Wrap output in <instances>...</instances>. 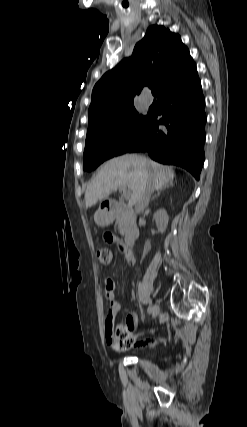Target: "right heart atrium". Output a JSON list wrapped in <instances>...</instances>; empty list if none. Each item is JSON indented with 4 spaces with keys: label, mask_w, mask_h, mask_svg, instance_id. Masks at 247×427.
<instances>
[{
    "label": "right heart atrium",
    "mask_w": 247,
    "mask_h": 427,
    "mask_svg": "<svg viewBox=\"0 0 247 427\" xmlns=\"http://www.w3.org/2000/svg\"><path fill=\"white\" fill-rule=\"evenodd\" d=\"M128 137H129V134L125 131H122L117 135L116 141L118 143H124L125 141H127Z\"/></svg>",
    "instance_id": "d8ad5b80"
}]
</instances>
